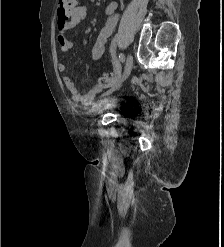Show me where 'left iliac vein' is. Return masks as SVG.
Here are the masks:
<instances>
[{
	"label": "left iliac vein",
	"instance_id": "obj_1",
	"mask_svg": "<svg viewBox=\"0 0 224 247\" xmlns=\"http://www.w3.org/2000/svg\"><path fill=\"white\" fill-rule=\"evenodd\" d=\"M132 68H133V57L131 54H129L126 60V65H125V69L123 72L122 81L127 79V77L130 75L132 71Z\"/></svg>",
	"mask_w": 224,
	"mask_h": 247
}]
</instances>
